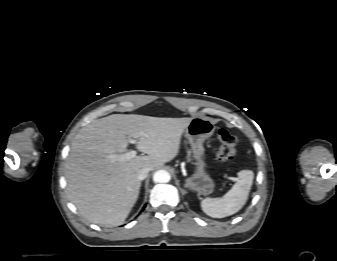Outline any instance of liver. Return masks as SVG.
Listing matches in <instances>:
<instances>
[{"label": "liver", "mask_w": 337, "mask_h": 261, "mask_svg": "<svg viewBox=\"0 0 337 261\" xmlns=\"http://www.w3.org/2000/svg\"><path fill=\"white\" fill-rule=\"evenodd\" d=\"M192 118H160L136 114H112L82 128L72 142L65 164L70 201L88 221L106 227L124 223L140 191L137 173L173 160L181 136ZM146 156L114 161L125 152L128 139Z\"/></svg>", "instance_id": "1"}]
</instances>
